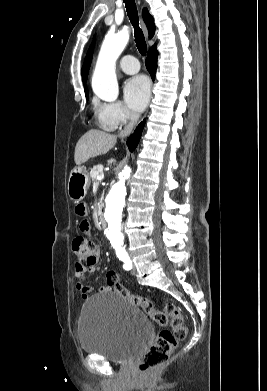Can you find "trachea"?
I'll list each match as a JSON object with an SVG mask.
<instances>
[{
	"label": "trachea",
	"mask_w": 267,
	"mask_h": 391,
	"mask_svg": "<svg viewBox=\"0 0 267 391\" xmlns=\"http://www.w3.org/2000/svg\"><path fill=\"white\" fill-rule=\"evenodd\" d=\"M123 1L125 3L129 20L134 28L136 47L141 55H146L147 45L144 38V34L141 28L139 27V17H138L135 0H123Z\"/></svg>",
	"instance_id": "1"
}]
</instances>
